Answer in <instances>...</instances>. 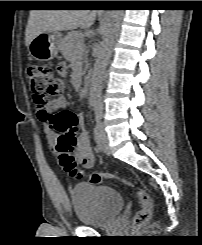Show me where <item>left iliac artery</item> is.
Listing matches in <instances>:
<instances>
[{
  "mask_svg": "<svg viewBox=\"0 0 202 245\" xmlns=\"http://www.w3.org/2000/svg\"><path fill=\"white\" fill-rule=\"evenodd\" d=\"M101 117H102L101 105L97 104V105H95V119H96V121L99 122Z\"/></svg>",
  "mask_w": 202,
  "mask_h": 245,
  "instance_id": "44dca946",
  "label": "left iliac artery"
}]
</instances>
